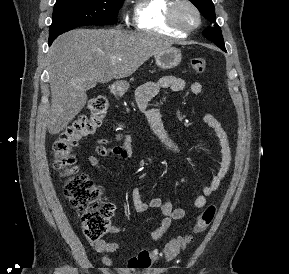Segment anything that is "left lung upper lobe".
<instances>
[{"label":"left lung upper lobe","mask_w":289,"mask_h":274,"mask_svg":"<svg viewBox=\"0 0 289 274\" xmlns=\"http://www.w3.org/2000/svg\"><path fill=\"white\" fill-rule=\"evenodd\" d=\"M203 16L210 22L211 26L203 31V36L213 41L219 48L225 50L224 40L220 27L216 23L215 8L212 0H190Z\"/></svg>","instance_id":"5c2ea615"}]
</instances>
